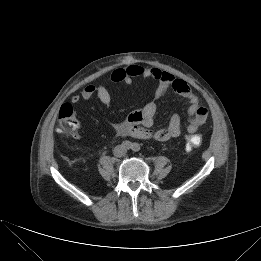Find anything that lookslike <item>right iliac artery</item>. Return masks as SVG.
<instances>
[{
  "label": "right iliac artery",
  "mask_w": 261,
  "mask_h": 261,
  "mask_svg": "<svg viewBox=\"0 0 261 261\" xmlns=\"http://www.w3.org/2000/svg\"><path fill=\"white\" fill-rule=\"evenodd\" d=\"M122 146L124 147V148H126V149H129V148H131L132 147V143L130 142V141H123L122 142Z\"/></svg>",
  "instance_id": "obj_1"
}]
</instances>
